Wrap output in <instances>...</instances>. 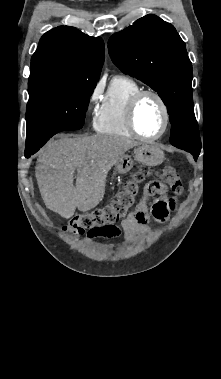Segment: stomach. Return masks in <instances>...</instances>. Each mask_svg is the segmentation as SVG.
<instances>
[{
	"label": "stomach",
	"instance_id": "0dacf381",
	"mask_svg": "<svg viewBox=\"0 0 221 379\" xmlns=\"http://www.w3.org/2000/svg\"><path fill=\"white\" fill-rule=\"evenodd\" d=\"M165 159L164 152L154 144H142L134 149L133 156L129 154L122 155L116 162L114 174H126L134 165V160L154 167L160 165Z\"/></svg>",
	"mask_w": 221,
	"mask_h": 379
}]
</instances>
